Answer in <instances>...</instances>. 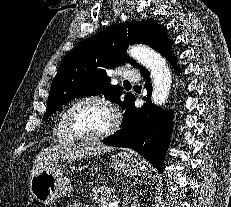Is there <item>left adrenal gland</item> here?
I'll return each mask as SVG.
<instances>
[{"mask_svg":"<svg viewBox=\"0 0 231 207\" xmlns=\"http://www.w3.org/2000/svg\"><path fill=\"white\" fill-rule=\"evenodd\" d=\"M128 203H129V199H128V196H127V197L124 199L123 205H124V206H127Z\"/></svg>","mask_w":231,"mask_h":207,"instance_id":"1","label":"left adrenal gland"}]
</instances>
